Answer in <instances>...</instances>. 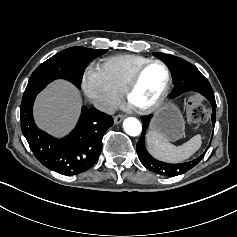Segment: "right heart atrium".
I'll list each match as a JSON object with an SVG mask.
<instances>
[{"instance_id":"1","label":"right heart atrium","mask_w":237,"mask_h":237,"mask_svg":"<svg viewBox=\"0 0 237 237\" xmlns=\"http://www.w3.org/2000/svg\"><path fill=\"white\" fill-rule=\"evenodd\" d=\"M81 85L90 103L102 113L113 112L120 103L122 94L101 67L88 66L82 75Z\"/></svg>"}]
</instances>
